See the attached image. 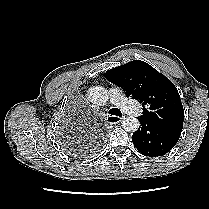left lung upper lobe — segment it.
<instances>
[{"label": "left lung upper lobe", "instance_id": "left-lung-upper-lobe-1", "mask_svg": "<svg viewBox=\"0 0 209 209\" xmlns=\"http://www.w3.org/2000/svg\"><path fill=\"white\" fill-rule=\"evenodd\" d=\"M106 78L142 103L143 115L139 118L162 129L182 131L184 110L179 93L174 84L152 66L134 60L108 70Z\"/></svg>", "mask_w": 209, "mask_h": 209}]
</instances>
